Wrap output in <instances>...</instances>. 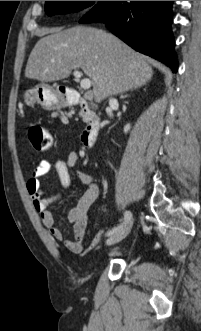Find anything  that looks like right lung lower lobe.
<instances>
[{
	"instance_id": "1",
	"label": "right lung lower lobe",
	"mask_w": 201,
	"mask_h": 331,
	"mask_svg": "<svg viewBox=\"0 0 201 331\" xmlns=\"http://www.w3.org/2000/svg\"><path fill=\"white\" fill-rule=\"evenodd\" d=\"M172 4L173 1H99L80 23L103 22L129 46L176 72Z\"/></svg>"
}]
</instances>
